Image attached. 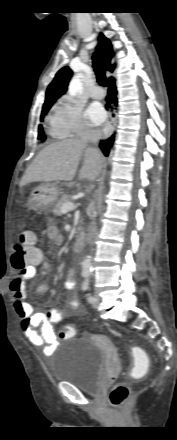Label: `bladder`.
I'll return each mask as SVG.
<instances>
[{
	"mask_svg": "<svg viewBox=\"0 0 177 440\" xmlns=\"http://www.w3.org/2000/svg\"><path fill=\"white\" fill-rule=\"evenodd\" d=\"M99 343L83 338L60 343L50 365L51 378L74 384L87 394L100 393L112 343L108 339H101Z\"/></svg>",
	"mask_w": 177,
	"mask_h": 440,
	"instance_id": "obj_1",
	"label": "bladder"
}]
</instances>
